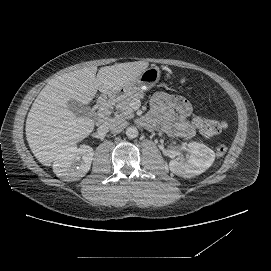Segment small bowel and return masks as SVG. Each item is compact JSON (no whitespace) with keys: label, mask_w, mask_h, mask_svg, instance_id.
<instances>
[{"label":"small bowel","mask_w":271,"mask_h":271,"mask_svg":"<svg viewBox=\"0 0 271 271\" xmlns=\"http://www.w3.org/2000/svg\"><path fill=\"white\" fill-rule=\"evenodd\" d=\"M151 107L153 116L169 134L185 138L194 135V129L188 121L193 114V107L183 97L158 92L151 99Z\"/></svg>","instance_id":"c3829d8e"}]
</instances>
